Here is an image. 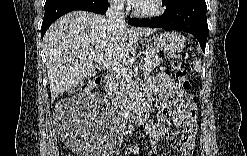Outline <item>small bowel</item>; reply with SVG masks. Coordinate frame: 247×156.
<instances>
[{"mask_svg": "<svg viewBox=\"0 0 247 156\" xmlns=\"http://www.w3.org/2000/svg\"><path fill=\"white\" fill-rule=\"evenodd\" d=\"M146 92L150 100L157 97L163 101L158 120L151 121L147 126L149 136L154 141H171L173 135L167 127V123H171L182 129V137L177 144L179 155H191L196 137V105L191 103L180 86L164 73L158 74L150 81ZM172 108L175 110L174 115L171 112ZM151 155H157V152L152 151Z\"/></svg>", "mask_w": 247, "mask_h": 156, "instance_id": "c3829d8e", "label": "small bowel"}]
</instances>
